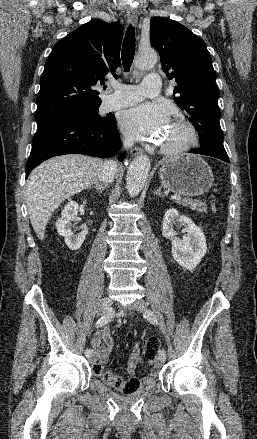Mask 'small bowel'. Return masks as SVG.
Returning <instances> with one entry per match:
<instances>
[{"instance_id":"c3829d8e","label":"small bowel","mask_w":257,"mask_h":439,"mask_svg":"<svg viewBox=\"0 0 257 439\" xmlns=\"http://www.w3.org/2000/svg\"><path fill=\"white\" fill-rule=\"evenodd\" d=\"M91 346L95 354V360L100 364H105L109 358V355L114 346V339L110 330L107 327H103L97 330L91 341ZM142 359L140 357V351L138 345H135L130 351L127 360V371L131 376H135L137 369L142 365ZM151 369L150 372L143 378L141 383L150 384L157 377L159 369L156 361H150Z\"/></svg>"}]
</instances>
